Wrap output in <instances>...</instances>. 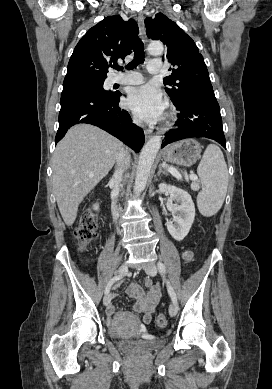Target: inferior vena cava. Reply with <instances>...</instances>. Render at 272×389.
Returning <instances> with one entry per match:
<instances>
[{"label": "inferior vena cava", "instance_id": "602c4592", "mask_svg": "<svg viewBox=\"0 0 272 389\" xmlns=\"http://www.w3.org/2000/svg\"><path fill=\"white\" fill-rule=\"evenodd\" d=\"M136 124H140L139 121H134ZM130 164V156L128 152L121 148L118 157H117V166L116 170L113 174V177L110 181V186L112 188V203H111V212L114 221L117 220L118 218V212H117V207H116V202H117V196L119 194V189H120V183L122 181V176L125 170L128 169Z\"/></svg>", "mask_w": 272, "mask_h": 389}]
</instances>
